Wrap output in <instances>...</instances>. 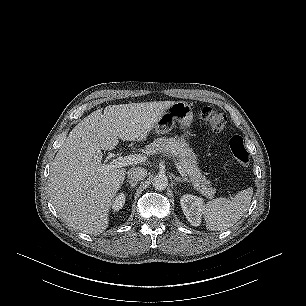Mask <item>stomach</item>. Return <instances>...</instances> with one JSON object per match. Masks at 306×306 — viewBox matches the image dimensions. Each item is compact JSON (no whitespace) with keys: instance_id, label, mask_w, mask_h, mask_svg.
Instances as JSON below:
<instances>
[{"instance_id":"0dacf381","label":"stomach","mask_w":306,"mask_h":306,"mask_svg":"<svg viewBox=\"0 0 306 306\" xmlns=\"http://www.w3.org/2000/svg\"><path fill=\"white\" fill-rule=\"evenodd\" d=\"M192 120L193 112L190 105L184 101H177L167 107L159 116L153 130L157 134H166L172 130L175 122H178L182 129H187Z\"/></svg>"}]
</instances>
